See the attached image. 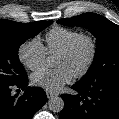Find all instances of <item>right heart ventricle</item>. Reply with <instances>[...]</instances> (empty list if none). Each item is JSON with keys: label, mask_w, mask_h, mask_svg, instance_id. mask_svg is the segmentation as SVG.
<instances>
[{"label": "right heart ventricle", "mask_w": 119, "mask_h": 119, "mask_svg": "<svg viewBox=\"0 0 119 119\" xmlns=\"http://www.w3.org/2000/svg\"><path fill=\"white\" fill-rule=\"evenodd\" d=\"M79 35L81 33L74 29L61 26L52 28L45 37L47 53H59Z\"/></svg>", "instance_id": "obj_1"}]
</instances>
